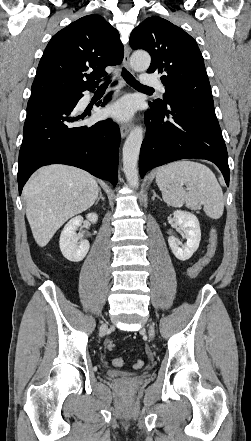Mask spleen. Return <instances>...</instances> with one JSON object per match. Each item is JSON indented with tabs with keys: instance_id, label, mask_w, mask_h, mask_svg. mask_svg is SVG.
Returning <instances> with one entry per match:
<instances>
[{
	"instance_id": "1",
	"label": "spleen",
	"mask_w": 251,
	"mask_h": 441,
	"mask_svg": "<svg viewBox=\"0 0 251 441\" xmlns=\"http://www.w3.org/2000/svg\"><path fill=\"white\" fill-rule=\"evenodd\" d=\"M156 183L169 206L186 204L196 208L203 205L204 212L212 219H219L223 214L222 189L214 173L204 164L189 160L169 163L158 170ZM182 185L189 187V191Z\"/></svg>"
}]
</instances>
